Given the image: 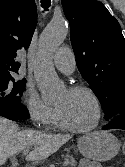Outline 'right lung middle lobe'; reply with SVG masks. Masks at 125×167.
<instances>
[{"label": "right lung middle lobe", "mask_w": 125, "mask_h": 167, "mask_svg": "<svg viewBox=\"0 0 125 167\" xmlns=\"http://www.w3.org/2000/svg\"><path fill=\"white\" fill-rule=\"evenodd\" d=\"M26 80L17 81L11 75L0 76V100L21 103Z\"/></svg>", "instance_id": "dd1d6c3e"}]
</instances>
